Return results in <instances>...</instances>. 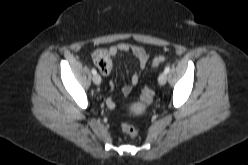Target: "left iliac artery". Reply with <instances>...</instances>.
Listing matches in <instances>:
<instances>
[{"label":"left iliac artery","mask_w":248,"mask_h":165,"mask_svg":"<svg viewBox=\"0 0 248 165\" xmlns=\"http://www.w3.org/2000/svg\"><path fill=\"white\" fill-rule=\"evenodd\" d=\"M169 71H170V67L167 66V67L165 68L164 72L167 74V73H169Z\"/></svg>","instance_id":"obj_1"}]
</instances>
